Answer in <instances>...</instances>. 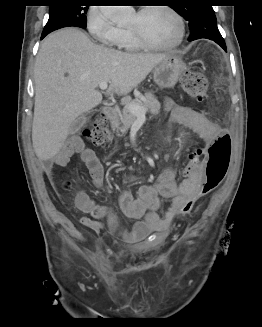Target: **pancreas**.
<instances>
[{"mask_svg":"<svg viewBox=\"0 0 262 327\" xmlns=\"http://www.w3.org/2000/svg\"><path fill=\"white\" fill-rule=\"evenodd\" d=\"M125 104V107L119 112L118 115L114 116L111 121L112 128L120 131L122 135L128 130V128L136 120L137 116L132 114L128 108L129 104H137L145 108L146 111H149L152 115H158L160 113V103L157 98L152 93H145L144 96H139L127 102V100L122 101ZM120 136V134H118Z\"/></svg>","mask_w":262,"mask_h":327,"instance_id":"pancreas-1","label":"pancreas"}]
</instances>
